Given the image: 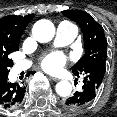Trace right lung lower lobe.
<instances>
[{
  "instance_id": "obj_1",
  "label": "right lung lower lobe",
  "mask_w": 117,
  "mask_h": 117,
  "mask_svg": "<svg viewBox=\"0 0 117 117\" xmlns=\"http://www.w3.org/2000/svg\"><path fill=\"white\" fill-rule=\"evenodd\" d=\"M24 85L8 82V75L0 79V106L5 109L18 107L24 98Z\"/></svg>"
}]
</instances>
